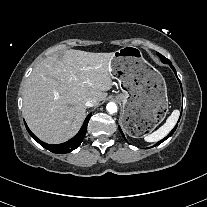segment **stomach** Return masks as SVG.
Wrapping results in <instances>:
<instances>
[{
  "label": "stomach",
  "mask_w": 207,
  "mask_h": 207,
  "mask_svg": "<svg viewBox=\"0 0 207 207\" xmlns=\"http://www.w3.org/2000/svg\"><path fill=\"white\" fill-rule=\"evenodd\" d=\"M112 68L122 93L124 124L136 123V135L151 130L168 108L163 76L151 67L135 47H123L112 55Z\"/></svg>",
  "instance_id": "1"
}]
</instances>
